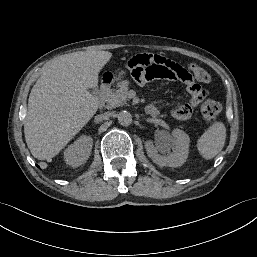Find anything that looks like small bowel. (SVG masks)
I'll list each match as a JSON object with an SVG mask.
<instances>
[{
    "label": "small bowel",
    "mask_w": 257,
    "mask_h": 257,
    "mask_svg": "<svg viewBox=\"0 0 257 257\" xmlns=\"http://www.w3.org/2000/svg\"><path fill=\"white\" fill-rule=\"evenodd\" d=\"M127 70L132 75L133 81L138 85H144L149 81L166 78L181 85L184 93L190 94L188 102L175 106L172 115L178 120H189L198 101L206 95L198 85L196 86L197 73L194 69L177 64L173 59H168L161 54L152 55L141 52L129 59ZM156 107L154 104H150Z\"/></svg>",
    "instance_id": "c3829d8e"
}]
</instances>
